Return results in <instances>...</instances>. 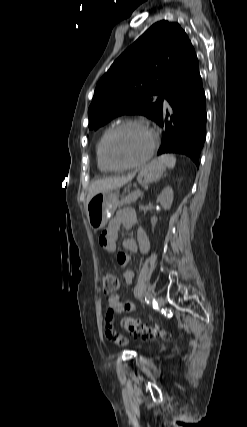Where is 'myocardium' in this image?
<instances>
[{"label":"myocardium","instance_id":"1","mask_svg":"<svg viewBox=\"0 0 247 427\" xmlns=\"http://www.w3.org/2000/svg\"><path fill=\"white\" fill-rule=\"evenodd\" d=\"M130 126L140 127V128H143V129H146L147 131H149V133L152 136V142H151L150 148L142 158H140L139 160H137L135 162L128 163V164H117L111 159L110 154H109L110 141L117 132H119L120 130H122L126 127H130ZM158 141H159L158 131L155 128H153L152 126H150L149 124H147L143 121H139V120H133V119L132 120H126V121H123V122L117 124L113 128H111L110 131L105 136L104 141H103V145H102L103 159L106 162V164L114 171H120V170L134 168V167L143 165L150 160V158L153 156L155 149L158 145Z\"/></svg>","mask_w":247,"mask_h":427}]
</instances>
